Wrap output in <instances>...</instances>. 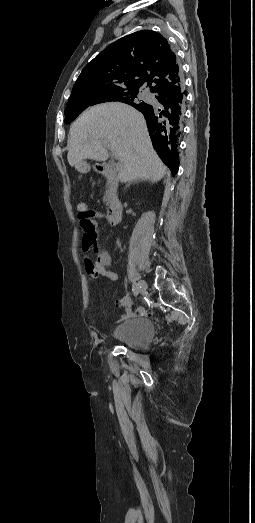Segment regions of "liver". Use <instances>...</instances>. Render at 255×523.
I'll list each match as a JSON object with an SVG mask.
<instances>
[{
	"instance_id": "liver-1",
	"label": "liver",
	"mask_w": 255,
	"mask_h": 523,
	"mask_svg": "<svg viewBox=\"0 0 255 523\" xmlns=\"http://www.w3.org/2000/svg\"><path fill=\"white\" fill-rule=\"evenodd\" d=\"M67 146V160L76 170L83 160L105 162L109 158L106 148H110L122 164L120 182H159L167 174V166L152 146L143 114L120 102L88 108L71 124Z\"/></svg>"
}]
</instances>
